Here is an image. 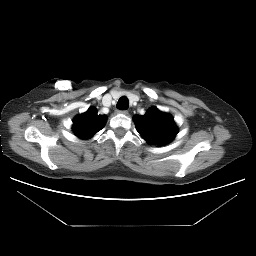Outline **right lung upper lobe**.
I'll use <instances>...</instances> for the list:
<instances>
[{
	"label": "right lung upper lobe",
	"instance_id": "cb5924a9",
	"mask_svg": "<svg viewBox=\"0 0 256 256\" xmlns=\"http://www.w3.org/2000/svg\"><path fill=\"white\" fill-rule=\"evenodd\" d=\"M97 109L90 107L85 113L77 116L73 121V131L82 138L88 139L104 128L106 117L97 114Z\"/></svg>",
	"mask_w": 256,
	"mask_h": 256
}]
</instances>
